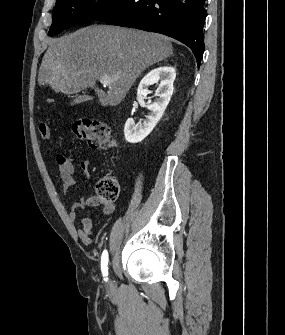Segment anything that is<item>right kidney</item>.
<instances>
[{"label": "right kidney", "instance_id": "1", "mask_svg": "<svg viewBox=\"0 0 285 335\" xmlns=\"http://www.w3.org/2000/svg\"><path fill=\"white\" fill-rule=\"evenodd\" d=\"M175 78L176 72L174 68H171V66L155 68V70H151L149 74L144 76L138 86V98L148 94L149 86L160 82L157 90V96H159V98H156L155 102H151V100H149L147 110H150V112L148 116H145L146 120H144L143 124H141V122L135 124L133 118H128L124 126V136L127 142H130V144H137V142H142V140H144V138L152 132L153 128H155L156 124H158L159 120H161L170 102V98L174 90L173 82Z\"/></svg>", "mask_w": 285, "mask_h": 335}]
</instances>
